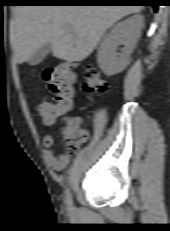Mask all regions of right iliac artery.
I'll return each instance as SVG.
<instances>
[{"label":"right iliac artery","mask_w":170,"mask_h":231,"mask_svg":"<svg viewBox=\"0 0 170 231\" xmlns=\"http://www.w3.org/2000/svg\"><path fill=\"white\" fill-rule=\"evenodd\" d=\"M65 201H66L68 208L71 209L72 208V197H71V193L69 189L66 190Z\"/></svg>","instance_id":"right-iliac-artery-1"}]
</instances>
